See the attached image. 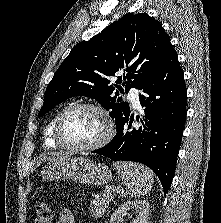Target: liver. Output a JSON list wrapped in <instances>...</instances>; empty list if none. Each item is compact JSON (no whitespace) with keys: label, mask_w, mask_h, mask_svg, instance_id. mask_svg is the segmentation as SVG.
<instances>
[{"label":"liver","mask_w":221,"mask_h":223,"mask_svg":"<svg viewBox=\"0 0 221 223\" xmlns=\"http://www.w3.org/2000/svg\"><path fill=\"white\" fill-rule=\"evenodd\" d=\"M65 153H59V152H55V153H52V156H44L42 158L43 161H48V162H51V161H55V160H58V159H62V158H65Z\"/></svg>","instance_id":"liver-1"}]
</instances>
